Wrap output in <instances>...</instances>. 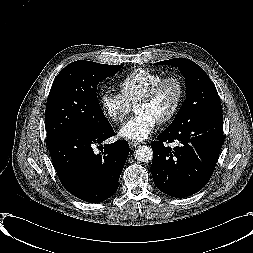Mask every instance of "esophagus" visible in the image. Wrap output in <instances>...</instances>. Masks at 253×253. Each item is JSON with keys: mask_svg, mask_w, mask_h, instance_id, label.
<instances>
[{"mask_svg": "<svg viewBox=\"0 0 253 253\" xmlns=\"http://www.w3.org/2000/svg\"><path fill=\"white\" fill-rule=\"evenodd\" d=\"M140 143L135 142V141H129V146L133 149L136 148L137 146H139Z\"/></svg>", "mask_w": 253, "mask_h": 253, "instance_id": "obj_1", "label": "esophagus"}]
</instances>
